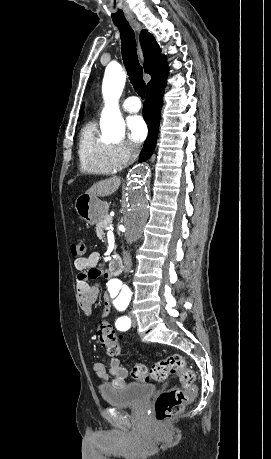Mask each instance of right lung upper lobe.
I'll return each instance as SVG.
<instances>
[{
    "mask_svg": "<svg viewBox=\"0 0 271 459\" xmlns=\"http://www.w3.org/2000/svg\"><path fill=\"white\" fill-rule=\"evenodd\" d=\"M140 43L144 53V71L151 75V81L148 86L153 82L163 77L168 73V66L166 57L161 55V50L152 34L146 30L140 33ZM83 116V107L79 119Z\"/></svg>",
    "mask_w": 271,
    "mask_h": 459,
    "instance_id": "cb5924a9",
    "label": "right lung upper lobe"
}]
</instances>
